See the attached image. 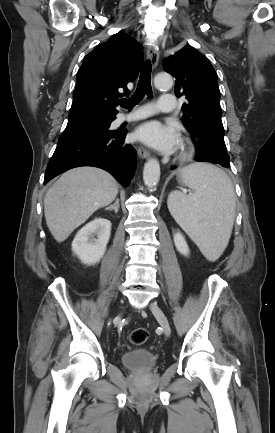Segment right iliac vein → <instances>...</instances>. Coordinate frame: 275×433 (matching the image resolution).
<instances>
[{
    "label": "right iliac vein",
    "mask_w": 275,
    "mask_h": 433,
    "mask_svg": "<svg viewBox=\"0 0 275 433\" xmlns=\"http://www.w3.org/2000/svg\"><path fill=\"white\" fill-rule=\"evenodd\" d=\"M117 319L119 320V319H120V316H118Z\"/></svg>",
    "instance_id": "obj_1"
}]
</instances>
